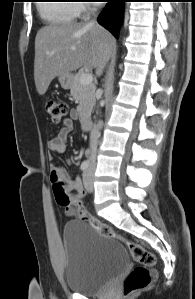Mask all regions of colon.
Instances as JSON below:
<instances>
[{
    "instance_id": "5ec220e1",
    "label": "colon",
    "mask_w": 195,
    "mask_h": 299,
    "mask_svg": "<svg viewBox=\"0 0 195 299\" xmlns=\"http://www.w3.org/2000/svg\"><path fill=\"white\" fill-rule=\"evenodd\" d=\"M45 109L53 123H59L68 113L67 104L57 100H48L45 104ZM53 193L58 205L62 207L73 206L80 217L100 235L115 239L126 245L131 256L139 266L135 267L125 278L123 282L124 296H130L154 282L156 275L152 268L156 264V257L152 252L118 234L111 226L91 216L82 201L73 198L67 191L66 185L59 178L53 181Z\"/></svg>"
}]
</instances>
